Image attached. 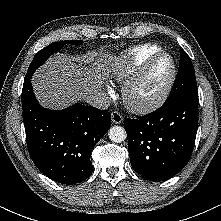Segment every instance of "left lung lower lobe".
Wrapping results in <instances>:
<instances>
[{
  "instance_id": "1",
  "label": "left lung lower lobe",
  "mask_w": 221,
  "mask_h": 221,
  "mask_svg": "<svg viewBox=\"0 0 221 221\" xmlns=\"http://www.w3.org/2000/svg\"><path fill=\"white\" fill-rule=\"evenodd\" d=\"M124 122L135 172L147 180H168L191 157L198 126V95L175 98L152 113Z\"/></svg>"
}]
</instances>
